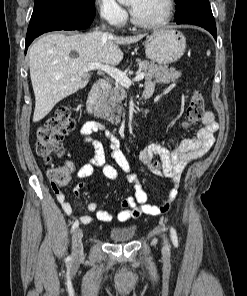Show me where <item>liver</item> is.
<instances>
[{"mask_svg":"<svg viewBox=\"0 0 247 296\" xmlns=\"http://www.w3.org/2000/svg\"><path fill=\"white\" fill-rule=\"evenodd\" d=\"M144 35L117 37L102 31L64 35L50 33L29 49V68L35 95L33 122L43 119L64 98L83 89L91 77L83 71L88 63L118 65L123 59L119 45L140 41ZM78 53L71 57V52Z\"/></svg>","mask_w":247,"mask_h":296,"instance_id":"6515ba94","label":"liver"}]
</instances>
